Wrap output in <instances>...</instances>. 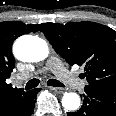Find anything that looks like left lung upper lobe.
<instances>
[{
  "label": "left lung upper lobe",
  "mask_w": 116,
  "mask_h": 116,
  "mask_svg": "<svg viewBox=\"0 0 116 116\" xmlns=\"http://www.w3.org/2000/svg\"><path fill=\"white\" fill-rule=\"evenodd\" d=\"M41 31L70 66H84L87 87L116 91V31L98 23H45Z\"/></svg>",
  "instance_id": "left-lung-upper-lobe-1"
}]
</instances>
